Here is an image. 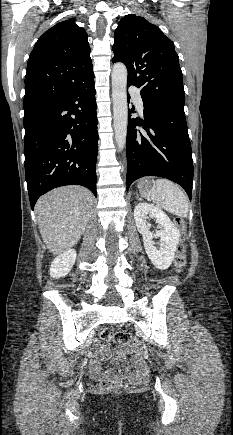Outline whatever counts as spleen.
<instances>
[{"label":"spleen","instance_id":"spleen-1","mask_svg":"<svg viewBox=\"0 0 233 435\" xmlns=\"http://www.w3.org/2000/svg\"><path fill=\"white\" fill-rule=\"evenodd\" d=\"M140 194L144 198H150L159 207L180 217H187L189 212L188 198L183 190L174 182L167 179H158L153 182L149 191L140 188Z\"/></svg>","mask_w":233,"mask_h":435}]
</instances>
